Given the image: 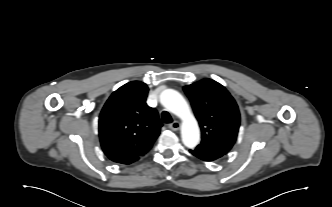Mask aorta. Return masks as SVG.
<instances>
[{"label": "aorta", "instance_id": "1", "mask_svg": "<svg viewBox=\"0 0 332 207\" xmlns=\"http://www.w3.org/2000/svg\"><path fill=\"white\" fill-rule=\"evenodd\" d=\"M161 104L182 120L181 138L188 148H194L200 141V130L191 109L183 96L173 89H166L160 95Z\"/></svg>", "mask_w": 332, "mask_h": 207}]
</instances>
